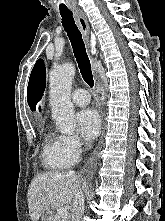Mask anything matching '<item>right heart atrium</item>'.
I'll use <instances>...</instances> for the list:
<instances>
[{
    "instance_id": "right-heart-atrium-1",
    "label": "right heart atrium",
    "mask_w": 165,
    "mask_h": 221,
    "mask_svg": "<svg viewBox=\"0 0 165 221\" xmlns=\"http://www.w3.org/2000/svg\"><path fill=\"white\" fill-rule=\"evenodd\" d=\"M63 151L76 160L82 152L83 142L77 136H61Z\"/></svg>"
}]
</instances>
